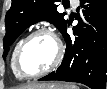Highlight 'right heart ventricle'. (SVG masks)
Returning a JSON list of instances; mask_svg holds the SVG:
<instances>
[{"label": "right heart ventricle", "mask_w": 107, "mask_h": 89, "mask_svg": "<svg viewBox=\"0 0 107 89\" xmlns=\"http://www.w3.org/2000/svg\"><path fill=\"white\" fill-rule=\"evenodd\" d=\"M22 40H20L16 45H15V47H14V49H13V52H12V56H11V67H12V71H13V73L15 74V76L17 77V78H22L20 75H19V73L16 71V69H15V65H14V59H15V54H16V51H17V48H18V46H19V44H20V42H21Z\"/></svg>", "instance_id": "obj_1"}]
</instances>
